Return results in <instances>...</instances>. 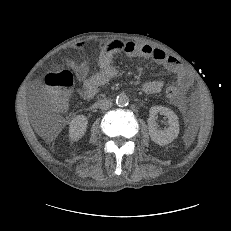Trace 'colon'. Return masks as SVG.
<instances>
[{
  "mask_svg": "<svg viewBox=\"0 0 231 231\" xmlns=\"http://www.w3.org/2000/svg\"><path fill=\"white\" fill-rule=\"evenodd\" d=\"M44 82L52 109L57 113L65 112L69 105V93L74 83L72 73L67 70L50 72L46 74ZM164 92L169 100H176L180 94L179 89L172 84L167 85Z\"/></svg>",
  "mask_w": 231,
  "mask_h": 231,
  "instance_id": "colon-1",
  "label": "colon"
}]
</instances>
